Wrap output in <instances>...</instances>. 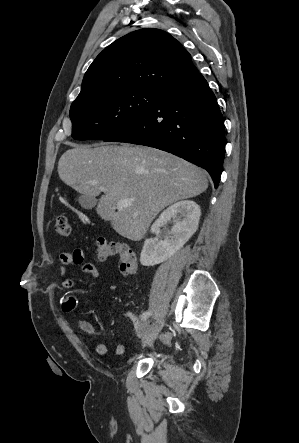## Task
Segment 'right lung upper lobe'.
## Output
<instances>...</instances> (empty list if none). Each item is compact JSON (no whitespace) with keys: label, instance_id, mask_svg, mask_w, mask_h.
<instances>
[{"label":"right lung upper lobe","instance_id":"right-lung-upper-lobe-1","mask_svg":"<svg viewBox=\"0 0 299 443\" xmlns=\"http://www.w3.org/2000/svg\"><path fill=\"white\" fill-rule=\"evenodd\" d=\"M196 73L179 41L162 30L145 28L119 38L97 56L75 101L117 89L162 91Z\"/></svg>","mask_w":299,"mask_h":443}]
</instances>
